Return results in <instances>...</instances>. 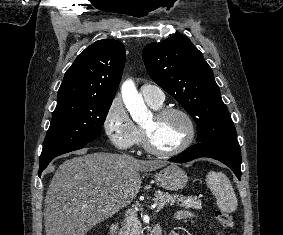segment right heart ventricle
Returning a JSON list of instances; mask_svg holds the SVG:
<instances>
[{
    "label": "right heart ventricle",
    "mask_w": 283,
    "mask_h": 235,
    "mask_svg": "<svg viewBox=\"0 0 283 235\" xmlns=\"http://www.w3.org/2000/svg\"><path fill=\"white\" fill-rule=\"evenodd\" d=\"M147 103L149 104V106H151L153 109H159L160 107H161V105L162 104H154V103H151V102H148L147 101ZM138 138H137V141L136 142H140V140H141V136H142V134H141V129L140 128H138Z\"/></svg>",
    "instance_id": "1"
}]
</instances>
